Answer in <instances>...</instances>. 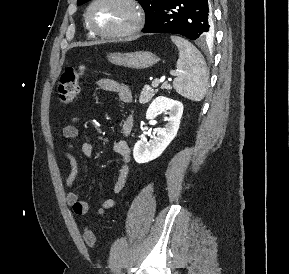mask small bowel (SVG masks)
<instances>
[{
    "instance_id": "small-bowel-1",
    "label": "small bowel",
    "mask_w": 289,
    "mask_h": 274,
    "mask_svg": "<svg viewBox=\"0 0 289 274\" xmlns=\"http://www.w3.org/2000/svg\"><path fill=\"white\" fill-rule=\"evenodd\" d=\"M96 85L108 92H114L118 95L121 102L125 104H131L133 102V93L131 87L114 79L103 78L97 81ZM80 120L78 116H74L70 119L69 123L62 128V135L67 140L64 145L63 153L70 165V172L66 179V185L69 191L66 194V202L73 208V211L78 216H84L89 212V205L86 201L81 200L78 194L72 190L75 180L78 175V161L73 154L74 141L78 136V129L76 123ZM133 126V117L129 115L122 123L121 131L122 137L118 139L113 146L114 152L121 158L123 164L119 169V173L115 184L112 188V194L117 195L124 188L128 174L130 161V148L127 142V136L130 134ZM80 151L85 157L93 156V145L89 142H82L80 145ZM117 199L115 197H109L104 199L100 206L95 211L98 216H103L109 210L115 207Z\"/></svg>"
}]
</instances>
